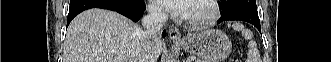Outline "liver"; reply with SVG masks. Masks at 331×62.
Here are the masks:
<instances>
[{"label": "liver", "instance_id": "1", "mask_svg": "<svg viewBox=\"0 0 331 62\" xmlns=\"http://www.w3.org/2000/svg\"><path fill=\"white\" fill-rule=\"evenodd\" d=\"M141 33L135 23L116 12L86 10L68 27L63 62H138ZM162 50L161 40L153 44L151 62Z\"/></svg>", "mask_w": 331, "mask_h": 62}]
</instances>
